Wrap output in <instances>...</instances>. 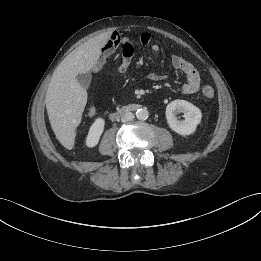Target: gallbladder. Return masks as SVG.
Listing matches in <instances>:
<instances>
[{
    "label": "gallbladder",
    "mask_w": 261,
    "mask_h": 261,
    "mask_svg": "<svg viewBox=\"0 0 261 261\" xmlns=\"http://www.w3.org/2000/svg\"><path fill=\"white\" fill-rule=\"evenodd\" d=\"M76 79L81 87L87 89L91 82V74L89 72L80 73L76 76Z\"/></svg>",
    "instance_id": "gallbladder-1"
}]
</instances>
